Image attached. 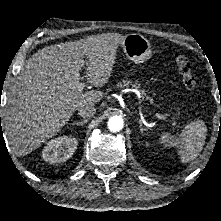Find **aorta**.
Listing matches in <instances>:
<instances>
[{"mask_svg": "<svg viewBox=\"0 0 221 221\" xmlns=\"http://www.w3.org/2000/svg\"><path fill=\"white\" fill-rule=\"evenodd\" d=\"M107 125H108V129L111 132H119L122 130L124 122H123L122 117L112 116L111 118H109Z\"/></svg>", "mask_w": 221, "mask_h": 221, "instance_id": "obj_1", "label": "aorta"}]
</instances>
